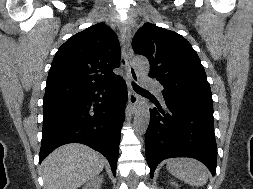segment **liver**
I'll return each instance as SVG.
<instances>
[{"label": "liver", "mask_w": 253, "mask_h": 189, "mask_svg": "<svg viewBox=\"0 0 253 189\" xmlns=\"http://www.w3.org/2000/svg\"><path fill=\"white\" fill-rule=\"evenodd\" d=\"M105 158L83 144H67L54 150L42 162L44 189H77L94 179Z\"/></svg>", "instance_id": "6515ba94"}]
</instances>
